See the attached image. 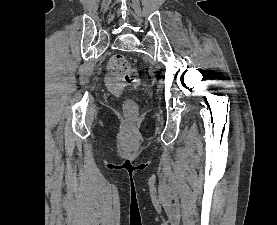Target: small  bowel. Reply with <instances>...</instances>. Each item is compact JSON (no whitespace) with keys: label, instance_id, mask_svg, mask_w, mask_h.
Instances as JSON below:
<instances>
[{"label":"small bowel","instance_id":"1","mask_svg":"<svg viewBox=\"0 0 277 225\" xmlns=\"http://www.w3.org/2000/svg\"><path fill=\"white\" fill-rule=\"evenodd\" d=\"M108 82L110 85H115L117 80L114 77H108Z\"/></svg>","mask_w":277,"mask_h":225}]
</instances>
